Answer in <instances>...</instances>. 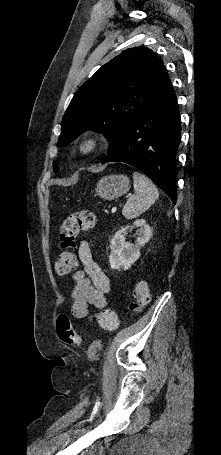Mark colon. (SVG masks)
<instances>
[{
	"mask_svg": "<svg viewBox=\"0 0 221 455\" xmlns=\"http://www.w3.org/2000/svg\"><path fill=\"white\" fill-rule=\"evenodd\" d=\"M95 225V215L91 211H79L66 218L60 229V241L63 252L55 262V270L60 275H68L77 266V257L74 253L77 237L80 232L91 230ZM150 291L146 283L139 282L132 293L129 304L131 312H139L150 302ZM99 325L107 331H113L120 325L116 312L103 310L96 315ZM56 330L61 341L68 345H78L80 337L74 331L70 318L61 314L57 318Z\"/></svg>",
	"mask_w": 221,
	"mask_h": 455,
	"instance_id": "1",
	"label": "colon"
}]
</instances>
